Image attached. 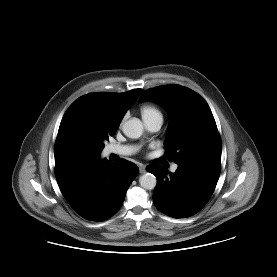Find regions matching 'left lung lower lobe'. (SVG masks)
Returning <instances> with one entry per match:
<instances>
[{"label":"left lung lower lobe","instance_id":"0a47b994","mask_svg":"<svg viewBox=\"0 0 277 277\" xmlns=\"http://www.w3.org/2000/svg\"><path fill=\"white\" fill-rule=\"evenodd\" d=\"M177 164L175 173L158 165L147 167L158 181L153 202L170 217H190L205 206L214 192L221 171L220 156H201Z\"/></svg>","mask_w":277,"mask_h":277}]
</instances>
